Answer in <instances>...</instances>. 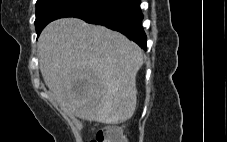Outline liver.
I'll return each mask as SVG.
<instances>
[{"label": "liver", "mask_w": 227, "mask_h": 142, "mask_svg": "<svg viewBox=\"0 0 227 142\" xmlns=\"http://www.w3.org/2000/svg\"><path fill=\"white\" fill-rule=\"evenodd\" d=\"M38 55L43 80L66 113L105 124L133 116L143 51L124 35L63 18L43 29Z\"/></svg>", "instance_id": "obj_1"}]
</instances>
